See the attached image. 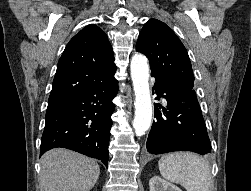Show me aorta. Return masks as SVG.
<instances>
[{"mask_svg":"<svg viewBox=\"0 0 251 191\" xmlns=\"http://www.w3.org/2000/svg\"><path fill=\"white\" fill-rule=\"evenodd\" d=\"M131 78L135 96L133 127L136 135H144L152 119V103L148 84V60L142 54H134L131 60Z\"/></svg>","mask_w":251,"mask_h":191,"instance_id":"aorta-1","label":"aorta"}]
</instances>
